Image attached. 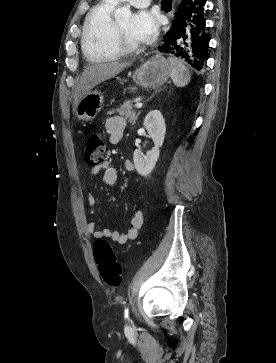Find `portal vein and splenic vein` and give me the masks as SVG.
Instances as JSON below:
<instances>
[{
  "mask_svg": "<svg viewBox=\"0 0 276 363\" xmlns=\"http://www.w3.org/2000/svg\"><path fill=\"white\" fill-rule=\"evenodd\" d=\"M142 106H143V104H142V103H140V102H138V103H136V104H135V107H136V108H141Z\"/></svg>",
  "mask_w": 276,
  "mask_h": 363,
  "instance_id": "portal-vein-and-splenic-vein-1",
  "label": "portal vein and splenic vein"
}]
</instances>
